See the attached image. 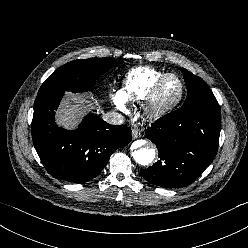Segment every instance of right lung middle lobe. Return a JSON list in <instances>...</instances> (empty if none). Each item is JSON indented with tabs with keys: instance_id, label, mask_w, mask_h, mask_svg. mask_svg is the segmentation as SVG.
I'll return each instance as SVG.
<instances>
[{
	"instance_id": "dd1d6c3e",
	"label": "right lung middle lobe",
	"mask_w": 248,
	"mask_h": 248,
	"mask_svg": "<svg viewBox=\"0 0 248 248\" xmlns=\"http://www.w3.org/2000/svg\"><path fill=\"white\" fill-rule=\"evenodd\" d=\"M114 58H90L69 62L54 71L42 84L38 95L52 92H84L113 66Z\"/></svg>"
}]
</instances>
